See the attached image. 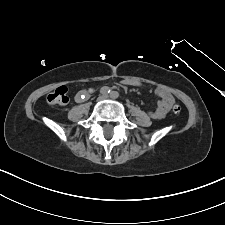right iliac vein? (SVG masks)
Wrapping results in <instances>:
<instances>
[{
    "label": "right iliac vein",
    "mask_w": 225,
    "mask_h": 225,
    "mask_svg": "<svg viewBox=\"0 0 225 225\" xmlns=\"http://www.w3.org/2000/svg\"><path fill=\"white\" fill-rule=\"evenodd\" d=\"M102 99H103V97H99V98H98V101H100V100H102Z\"/></svg>",
    "instance_id": "1"
}]
</instances>
